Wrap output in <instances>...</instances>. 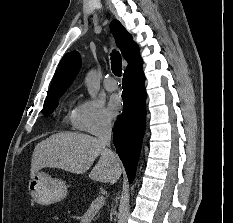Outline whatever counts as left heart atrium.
I'll use <instances>...</instances> for the list:
<instances>
[{
	"mask_svg": "<svg viewBox=\"0 0 233 223\" xmlns=\"http://www.w3.org/2000/svg\"><path fill=\"white\" fill-rule=\"evenodd\" d=\"M121 112L120 100L116 96H112L108 102V114L111 118H116Z\"/></svg>",
	"mask_w": 233,
	"mask_h": 223,
	"instance_id": "left-heart-atrium-1",
	"label": "left heart atrium"
}]
</instances>
